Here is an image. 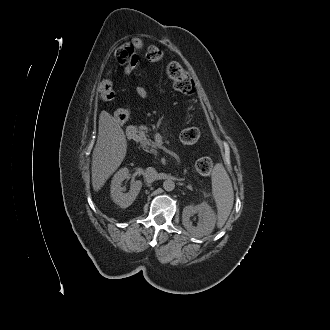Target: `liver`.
<instances>
[{
    "mask_svg": "<svg viewBox=\"0 0 330 330\" xmlns=\"http://www.w3.org/2000/svg\"><path fill=\"white\" fill-rule=\"evenodd\" d=\"M124 131L109 113L99 116L98 138L92 154V186L98 191L117 170L126 156Z\"/></svg>",
    "mask_w": 330,
    "mask_h": 330,
    "instance_id": "liver-1",
    "label": "liver"
}]
</instances>
